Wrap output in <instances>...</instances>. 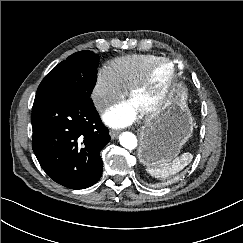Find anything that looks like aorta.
Listing matches in <instances>:
<instances>
[{
    "instance_id": "1",
    "label": "aorta",
    "mask_w": 243,
    "mask_h": 243,
    "mask_svg": "<svg viewBox=\"0 0 243 243\" xmlns=\"http://www.w3.org/2000/svg\"><path fill=\"white\" fill-rule=\"evenodd\" d=\"M121 146L126 149L133 150L137 146V138L131 132H123L119 137Z\"/></svg>"
}]
</instances>
